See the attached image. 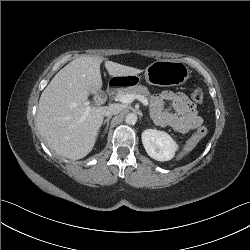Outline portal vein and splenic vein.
Here are the masks:
<instances>
[{
	"label": "portal vein and splenic vein",
	"instance_id": "1",
	"mask_svg": "<svg viewBox=\"0 0 250 250\" xmlns=\"http://www.w3.org/2000/svg\"><path fill=\"white\" fill-rule=\"evenodd\" d=\"M135 99H138L139 101H141L143 103V105L146 107L149 104L148 99L142 95L125 94V95L117 96V101H119L121 103H125V104L132 103ZM86 105L87 106H86L85 115L87 116L90 112L91 106L89 105V102H87Z\"/></svg>",
	"mask_w": 250,
	"mask_h": 250
}]
</instances>
